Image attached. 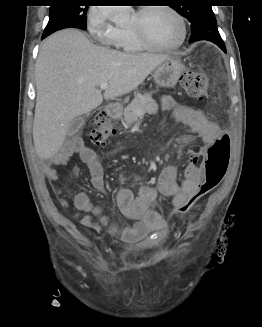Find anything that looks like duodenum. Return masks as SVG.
Instances as JSON below:
<instances>
[{
  "instance_id": "1",
  "label": "duodenum",
  "mask_w": 262,
  "mask_h": 327,
  "mask_svg": "<svg viewBox=\"0 0 262 327\" xmlns=\"http://www.w3.org/2000/svg\"><path fill=\"white\" fill-rule=\"evenodd\" d=\"M104 111L110 116V117H118L120 114V107L116 104H108L104 107Z\"/></svg>"
}]
</instances>
